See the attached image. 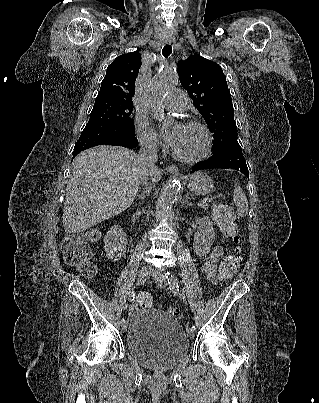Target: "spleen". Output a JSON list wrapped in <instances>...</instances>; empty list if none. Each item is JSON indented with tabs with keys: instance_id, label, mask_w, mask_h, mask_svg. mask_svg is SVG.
I'll return each instance as SVG.
<instances>
[{
	"instance_id": "1",
	"label": "spleen",
	"mask_w": 319,
	"mask_h": 403,
	"mask_svg": "<svg viewBox=\"0 0 319 403\" xmlns=\"http://www.w3.org/2000/svg\"><path fill=\"white\" fill-rule=\"evenodd\" d=\"M233 200L237 207V215L246 216L248 214V200L243 189L237 184L234 185Z\"/></svg>"
}]
</instances>
